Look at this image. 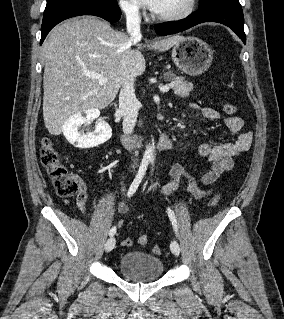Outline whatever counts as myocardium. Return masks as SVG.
<instances>
[{
  "label": "myocardium",
  "instance_id": "obj_1",
  "mask_svg": "<svg viewBox=\"0 0 284 319\" xmlns=\"http://www.w3.org/2000/svg\"><path fill=\"white\" fill-rule=\"evenodd\" d=\"M197 5V0H188L186 7L174 14H169V15H159L156 13H153L152 16L155 20L161 21V22H176L180 20H184L188 18L195 10Z\"/></svg>",
  "mask_w": 284,
  "mask_h": 319
}]
</instances>
